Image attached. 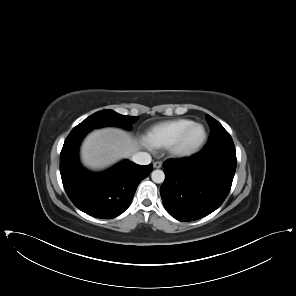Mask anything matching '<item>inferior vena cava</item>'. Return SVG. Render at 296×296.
Segmentation results:
<instances>
[{
    "mask_svg": "<svg viewBox=\"0 0 296 296\" xmlns=\"http://www.w3.org/2000/svg\"><path fill=\"white\" fill-rule=\"evenodd\" d=\"M131 160L139 165H148L151 163L152 158L147 152H137L132 156Z\"/></svg>",
    "mask_w": 296,
    "mask_h": 296,
    "instance_id": "1",
    "label": "inferior vena cava"
}]
</instances>
